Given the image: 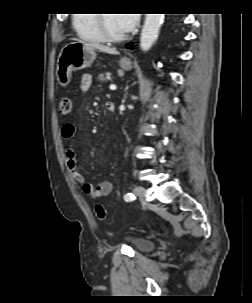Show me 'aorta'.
<instances>
[{
	"label": "aorta",
	"mask_w": 252,
	"mask_h": 303,
	"mask_svg": "<svg viewBox=\"0 0 252 303\" xmlns=\"http://www.w3.org/2000/svg\"><path fill=\"white\" fill-rule=\"evenodd\" d=\"M164 14H146L145 22L140 36V47L148 51L156 41Z\"/></svg>",
	"instance_id": "aorta-1"
}]
</instances>
